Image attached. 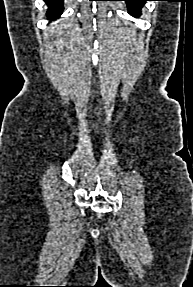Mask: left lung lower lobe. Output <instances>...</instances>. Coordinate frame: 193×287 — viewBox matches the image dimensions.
I'll return each instance as SVG.
<instances>
[{"label": "left lung lower lobe", "mask_w": 193, "mask_h": 287, "mask_svg": "<svg viewBox=\"0 0 193 287\" xmlns=\"http://www.w3.org/2000/svg\"><path fill=\"white\" fill-rule=\"evenodd\" d=\"M127 3L128 12L129 14L133 15L134 17L140 16V10L146 1H153V0H121Z\"/></svg>", "instance_id": "0a47b994"}]
</instances>
